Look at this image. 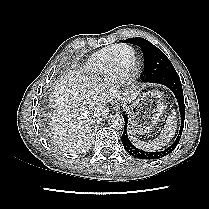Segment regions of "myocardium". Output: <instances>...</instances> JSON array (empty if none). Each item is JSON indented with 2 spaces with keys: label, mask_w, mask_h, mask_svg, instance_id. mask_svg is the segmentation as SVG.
I'll return each instance as SVG.
<instances>
[{
  "label": "myocardium",
  "mask_w": 209,
  "mask_h": 209,
  "mask_svg": "<svg viewBox=\"0 0 209 209\" xmlns=\"http://www.w3.org/2000/svg\"><path fill=\"white\" fill-rule=\"evenodd\" d=\"M125 50H131L134 54L136 53L135 49L132 46L121 45L114 53L110 67V76L112 77V79L119 82L127 81L130 78L134 68L133 65H129L125 68H122L120 66L119 58L121 53Z\"/></svg>",
  "instance_id": "myocardium-1"
}]
</instances>
